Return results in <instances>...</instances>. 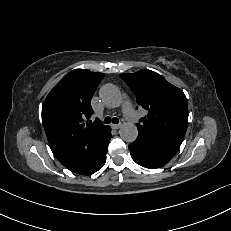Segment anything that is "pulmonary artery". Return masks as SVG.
<instances>
[{"label":"pulmonary artery","mask_w":231,"mask_h":231,"mask_svg":"<svg viewBox=\"0 0 231 231\" xmlns=\"http://www.w3.org/2000/svg\"><path fill=\"white\" fill-rule=\"evenodd\" d=\"M122 111H123L125 117H126L129 121H131V122H133V123H135V122L138 121L139 115H138V113L135 111V109L133 108L132 104H131L129 101H125V102L123 103Z\"/></svg>","instance_id":"1"}]
</instances>
